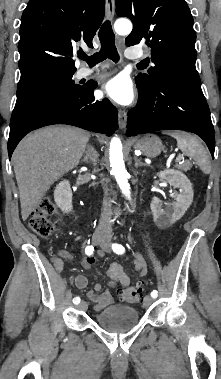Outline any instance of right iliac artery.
I'll return each instance as SVG.
<instances>
[{"instance_id": "right-iliac-artery-1", "label": "right iliac artery", "mask_w": 221, "mask_h": 379, "mask_svg": "<svg viewBox=\"0 0 221 379\" xmlns=\"http://www.w3.org/2000/svg\"><path fill=\"white\" fill-rule=\"evenodd\" d=\"M94 252V247L92 245H88L86 248H85V253L87 255H92ZM81 301L80 297H74L73 298V303L74 304H79Z\"/></svg>"}]
</instances>
